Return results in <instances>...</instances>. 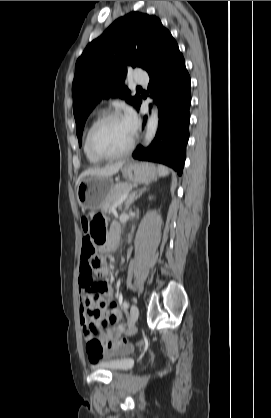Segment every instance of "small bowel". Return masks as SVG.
<instances>
[{
  "mask_svg": "<svg viewBox=\"0 0 271 418\" xmlns=\"http://www.w3.org/2000/svg\"><path fill=\"white\" fill-rule=\"evenodd\" d=\"M117 230L113 226L111 231ZM103 245L102 247H105ZM80 259L78 283L80 287V322L87 342L86 350L91 363L95 364L102 359H107L130 348L129 345L118 341L122 329L118 326L121 321V312L113 301L111 287L104 281L109 274L105 266V257L95 255V243L89 242L88 237L80 238ZM89 261V272L87 264ZM93 276L103 279L99 283L93 281ZM93 314H97L95 319ZM98 325L100 332L96 339L101 347L93 350L89 347L94 336L90 333L94 325Z\"/></svg>",
  "mask_w": 271,
  "mask_h": 418,
  "instance_id": "obj_1",
  "label": "small bowel"
}]
</instances>
